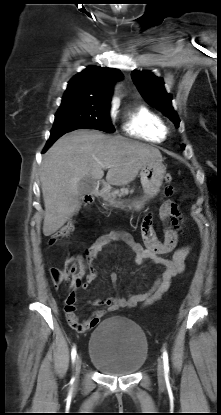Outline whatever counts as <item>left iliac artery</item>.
I'll list each match as a JSON object with an SVG mask.
<instances>
[{
	"label": "left iliac artery",
	"mask_w": 221,
	"mask_h": 415,
	"mask_svg": "<svg viewBox=\"0 0 221 415\" xmlns=\"http://www.w3.org/2000/svg\"><path fill=\"white\" fill-rule=\"evenodd\" d=\"M163 363H164L165 374H166V376H168V372H169V361H168V353H167L166 350H164V352H163Z\"/></svg>",
	"instance_id": "1"
}]
</instances>
